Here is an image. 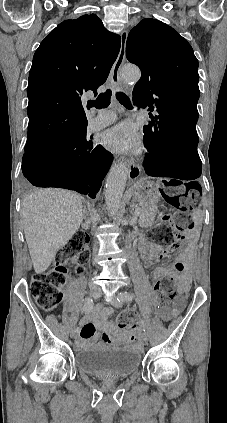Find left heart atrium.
<instances>
[{"mask_svg": "<svg viewBox=\"0 0 227 423\" xmlns=\"http://www.w3.org/2000/svg\"><path fill=\"white\" fill-rule=\"evenodd\" d=\"M102 143L115 153H136L141 148V137L135 128L121 125L105 131Z\"/></svg>", "mask_w": 227, "mask_h": 423, "instance_id": "39dd6f15", "label": "left heart atrium"}]
</instances>
